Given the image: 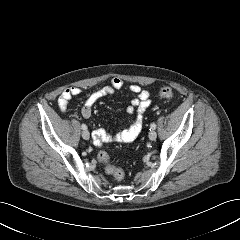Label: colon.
<instances>
[{"label": "colon", "instance_id": "5ec220e1", "mask_svg": "<svg viewBox=\"0 0 240 240\" xmlns=\"http://www.w3.org/2000/svg\"><path fill=\"white\" fill-rule=\"evenodd\" d=\"M160 97L164 99H171L173 96L172 89L169 86H163L159 90ZM99 164L105 169V171L110 174L116 181H121L124 179V172L122 169L114 166L111 162L108 153L101 151L97 155Z\"/></svg>", "mask_w": 240, "mask_h": 240}]
</instances>
